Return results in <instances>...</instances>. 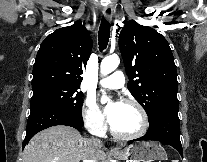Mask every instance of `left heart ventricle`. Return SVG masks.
Wrapping results in <instances>:
<instances>
[{
  "label": "left heart ventricle",
  "instance_id": "obj_1",
  "mask_svg": "<svg viewBox=\"0 0 207 162\" xmlns=\"http://www.w3.org/2000/svg\"><path fill=\"white\" fill-rule=\"evenodd\" d=\"M110 108L114 112L111 124L115 130L123 134H131L140 129L142 118L139 110L135 106L114 103Z\"/></svg>",
  "mask_w": 207,
  "mask_h": 162
}]
</instances>
